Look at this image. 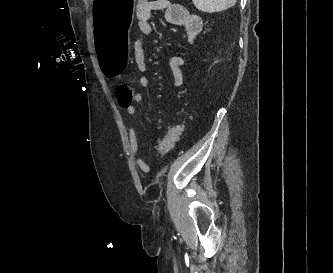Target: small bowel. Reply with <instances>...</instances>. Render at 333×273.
<instances>
[{"mask_svg": "<svg viewBox=\"0 0 333 273\" xmlns=\"http://www.w3.org/2000/svg\"><path fill=\"white\" fill-rule=\"evenodd\" d=\"M163 11L166 21L178 27H183L186 31L188 41L195 43L203 27L201 18L189 12L184 6L174 3L170 0H138L136 4V19L137 27L142 35H150L155 32V26L152 23V15L155 12ZM133 56L136 68L139 72L145 73L148 64L145 57L143 48V40L138 37L133 44ZM187 66L186 61L179 56H173L169 59V68L172 74L174 85L178 88L184 84L183 68ZM139 86L147 89L150 86V80L147 76L143 75L139 78ZM133 108L123 109L131 118L132 123L128 128V137L130 150L133 160L139 169L146 171L148 165L142 157L137 137L136 130V116L137 110L134 103H141L143 95L141 93H133Z\"/></svg>", "mask_w": 333, "mask_h": 273, "instance_id": "c3829d8e", "label": "small bowel"}]
</instances>
